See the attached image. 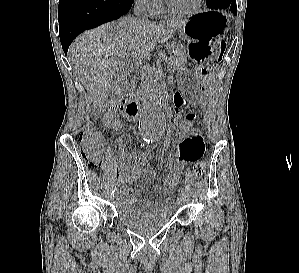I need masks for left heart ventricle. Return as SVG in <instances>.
I'll list each match as a JSON object with an SVG mask.
<instances>
[{
    "mask_svg": "<svg viewBox=\"0 0 299 273\" xmlns=\"http://www.w3.org/2000/svg\"><path fill=\"white\" fill-rule=\"evenodd\" d=\"M170 1L174 6L183 9L190 8L197 2V0H170Z\"/></svg>",
    "mask_w": 299,
    "mask_h": 273,
    "instance_id": "1",
    "label": "left heart ventricle"
}]
</instances>
